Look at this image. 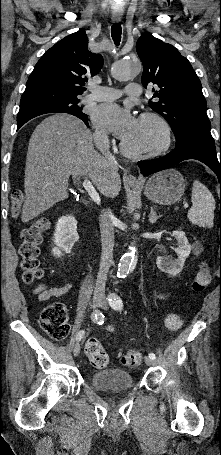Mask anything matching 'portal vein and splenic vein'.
<instances>
[{
  "mask_svg": "<svg viewBox=\"0 0 221 455\" xmlns=\"http://www.w3.org/2000/svg\"><path fill=\"white\" fill-rule=\"evenodd\" d=\"M84 189L87 191V193L89 194V196L91 197V199L98 205H100V197H99V194L97 193V191L95 190V188L93 187V185L91 184V182L88 180V179H85L82 183ZM184 208H188V204H185L184 205Z\"/></svg>",
  "mask_w": 221,
  "mask_h": 455,
  "instance_id": "portal-vein-and-splenic-vein-1",
  "label": "portal vein and splenic vein"
}]
</instances>
